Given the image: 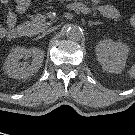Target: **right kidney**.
<instances>
[{
    "label": "right kidney",
    "instance_id": "1",
    "mask_svg": "<svg viewBox=\"0 0 135 135\" xmlns=\"http://www.w3.org/2000/svg\"><path fill=\"white\" fill-rule=\"evenodd\" d=\"M32 57L31 64L19 61L22 58ZM44 59V51L39 48L26 49L25 47H16L13 49L4 63V70L10 77L15 79H26L38 72Z\"/></svg>",
    "mask_w": 135,
    "mask_h": 135
}]
</instances>
